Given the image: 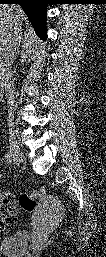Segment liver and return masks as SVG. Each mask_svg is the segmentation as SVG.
I'll use <instances>...</instances> for the list:
<instances>
[{
	"label": "liver",
	"instance_id": "liver-1",
	"mask_svg": "<svg viewBox=\"0 0 106 257\" xmlns=\"http://www.w3.org/2000/svg\"><path fill=\"white\" fill-rule=\"evenodd\" d=\"M26 21V16L19 6L2 5L0 8V43L4 42L10 26L16 22L20 27Z\"/></svg>",
	"mask_w": 106,
	"mask_h": 257
}]
</instances>
